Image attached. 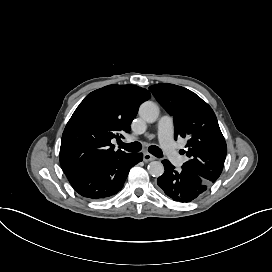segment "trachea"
Wrapping results in <instances>:
<instances>
[{
	"label": "trachea",
	"instance_id": "trachea-1",
	"mask_svg": "<svg viewBox=\"0 0 272 272\" xmlns=\"http://www.w3.org/2000/svg\"><path fill=\"white\" fill-rule=\"evenodd\" d=\"M121 148L129 151V152H138L141 150V144L139 142H133V143H123V142H118ZM149 152L153 154L154 156L158 158L163 157V152L160 148L157 146H150L149 147Z\"/></svg>",
	"mask_w": 272,
	"mask_h": 272
}]
</instances>
